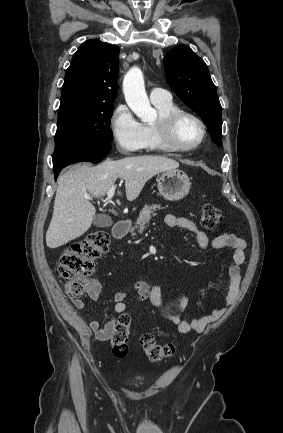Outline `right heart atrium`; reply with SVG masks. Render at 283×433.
Listing matches in <instances>:
<instances>
[{"label": "right heart atrium", "instance_id": "d8ad5b80", "mask_svg": "<svg viewBox=\"0 0 283 433\" xmlns=\"http://www.w3.org/2000/svg\"><path fill=\"white\" fill-rule=\"evenodd\" d=\"M113 145L121 155L137 154L141 145H148L143 125L126 105H116L109 117Z\"/></svg>", "mask_w": 283, "mask_h": 433}]
</instances>
